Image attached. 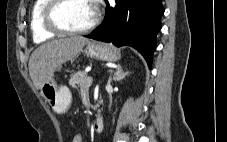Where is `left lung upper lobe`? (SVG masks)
I'll use <instances>...</instances> for the list:
<instances>
[{"instance_id": "1", "label": "left lung upper lobe", "mask_w": 227, "mask_h": 142, "mask_svg": "<svg viewBox=\"0 0 227 142\" xmlns=\"http://www.w3.org/2000/svg\"><path fill=\"white\" fill-rule=\"evenodd\" d=\"M105 2H106V4H108V1L107 0H105Z\"/></svg>"}]
</instances>
